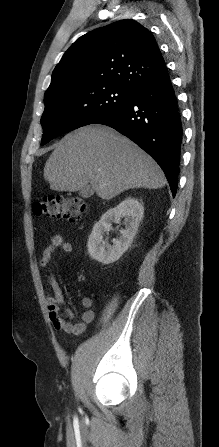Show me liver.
<instances>
[{"instance_id": "1", "label": "liver", "mask_w": 219, "mask_h": 447, "mask_svg": "<svg viewBox=\"0 0 219 447\" xmlns=\"http://www.w3.org/2000/svg\"><path fill=\"white\" fill-rule=\"evenodd\" d=\"M50 189L75 192L89 183L110 200L132 188L158 189L166 184L159 165L128 138L110 127L90 125L68 133L44 167Z\"/></svg>"}]
</instances>
